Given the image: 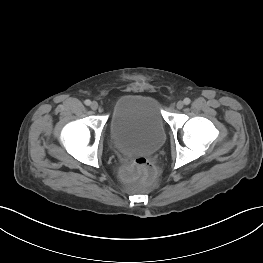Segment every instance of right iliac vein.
Returning <instances> with one entry per match:
<instances>
[{"instance_id": "63e3f726", "label": "right iliac vein", "mask_w": 263, "mask_h": 263, "mask_svg": "<svg viewBox=\"0 0 263 263\" xmlns=\"http://www.w3.org/2000/svg\"><path fill=\"white\" fill-rule=\"evenodd\" d=\"M90 107H91V109L92 110H97L98 109V103L97 102H95V101H93L91 104H90Z\"/></svg>"}]
</instances>
